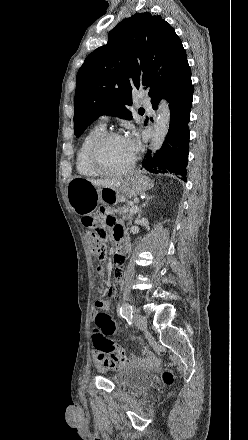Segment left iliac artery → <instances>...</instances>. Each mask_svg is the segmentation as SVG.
I'll list each match as a JSON object with an SVG mask.
<instances>
[{
	"instance_id": "left-iliac-artery-1",
	"label": "left iliac artery",
	"mask_w": 248,
	"mask_h": 440,
	"mask_svg": "<svg viewBox=\"0 0 248 440\" xmlns=\"http://www.w3.org/2000/svg\"><path fill=\"white\" fill-rule=\"evenodd\" d=\"M133 308L130 304L124 303L120 308V315L127 321L132 320Z\"/></svg>"
}]
</instances>
